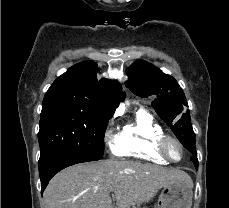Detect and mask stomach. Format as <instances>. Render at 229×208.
<instances>
[{"instance_id":"obj_1","label":"stomach","mask_w":229,"mask_h":208,"mask_svg":"<svg viewBox=\"0 0 229 208\" xmlns=\"http://www.w3.org/2000/svg\"><path fill=\"white\" fill-rule=\"evenodd\" d=\"M192 198V186L174 182L163 188L156 208H191Z\"/></svg>"}]
</instances>
